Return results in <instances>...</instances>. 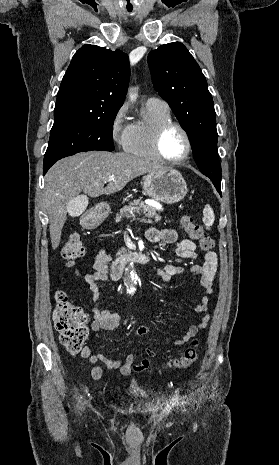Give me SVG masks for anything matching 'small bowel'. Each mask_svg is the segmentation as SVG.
Returning <instances> with one entry per match:
<instances>
[{
    "mask_svg": "<svg viewBox=\"0 0 279 465\" xmlns=\"http://www.w3.org/2000/svg\"><path fill=\"white\" fill-rule=\"evenodd\" d=\"M147 239L152 243H166L174 245V252L177 256L183 259H195L197 257L196 244L191 239L178 240L177 232L174 229H159L150 228L147 231ZM112 261V253L102 248L96 254L93 262L94 272L85 276V281L89 286L93 300L96 302L90 309L93 322L91 328L95 333V337H99L100 331L119 329L122 325V320L117 313L103 310L97 303L100 298L99 283L106 281L109 277L113 278V268L109 271V263ZM217 270V256L213 251H207L203 256V264L195 265L191 268V273L200 277L201 285L204 288V295L195 306V311L202 314L197 324L190 325L186 333L175 342L176 346H182L193 339L197 333L205 328L209 322V315L207 314L209 295L213 292V283ZM183 268L166 264L163 267L156 268V273L164 282H171L176 276L183 272ZM150 333L148 327H141L137 330V336H144ZM157 352L148 348L146 350V357L139 363H135L134 356L128 354L123 360L114 359L105 354L98 353L92 354L91 345L86 344L82 351L81 356L88 358L92 365L91 377L95 381L101 380L103 376V369L98 363H103L109 369H119L120 373L124 376H129L132 373H138L149 368L151 358Z\"/></svg>",
    "mask_w": 279,
    "mask_h": 465,
    "instance_id": "small-bowel-1",
    "label": "small bowel"
}]
</instances>
